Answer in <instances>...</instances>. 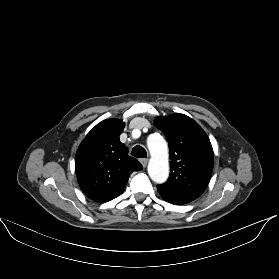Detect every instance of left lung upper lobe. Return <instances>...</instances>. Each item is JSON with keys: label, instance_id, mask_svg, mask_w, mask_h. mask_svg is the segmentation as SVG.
<instances>
[{"label": "left lung upper lobe", "instance_id": "5c2ea615", "mask_svg": "<svg viewBox=\"0 0 279 279\" xmlns=\"http://www.w3.org/2000/svg\"><path fill=\"white\" fill-rule=\"evenodd\" d=\"M155 126L169 143L170 176L158 185L164 200L185 204L197 199L206 189L213 171V149L203 129L184 114L157 117Z\"/></svg>", "mask_w": 279, "mask_h": 279}]
</instances>
